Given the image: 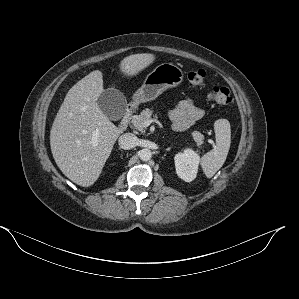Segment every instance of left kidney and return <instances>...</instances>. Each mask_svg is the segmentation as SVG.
Instances as JSON below:
<instances>
[{"mask_svg": "<svg viewBox=\"0 0 299 299\" xmlns=\"http://www.w3.org/2000/svg\"><path fill=\"white\" fill-rule=\"evenodd\" d=\"M176 173L185 182H191L196 178L199 155L192 149H185L183 153H178L174 157Z\"/></svg>", "mask_w": 299, "mask_h": 299, "instance_id": "1", "label": "left kidney"}]
</instances>
